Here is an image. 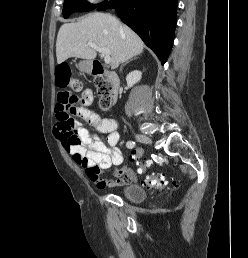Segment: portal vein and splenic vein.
I'll return each mask as SVG.
<instances>
[{
    "mask_svg": "<svg viewBox=\"0 0 248 258\" xmlns=\"http://www.w3.org/2000/svg\"><path fill=\"white\" fill-rule=\"evenodd\" d=\"M87 46H89V47L95 49L96 51H98L99 53H101V55L104 57V61L106 64L111 63L110 53L106 48L99 47L98 45H96L94 43H88Z\"/></svg>",
    "mask_w": 248,
    "mask_h": 258,
    "instance_id": "18ae733b",
    "label": "portal vein and splenic vein"
}]
</instances>
